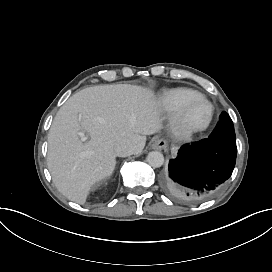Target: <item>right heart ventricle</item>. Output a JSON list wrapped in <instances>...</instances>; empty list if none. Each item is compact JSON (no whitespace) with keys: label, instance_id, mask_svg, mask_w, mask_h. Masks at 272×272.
I'll return each instance as SVG.
<instances>
[{"label":"right heart ventricle","instance_id":"obj_1","mask_svg":"<svg viewBox=\"0 0 272 272\" xmlns=\"http://www.w3.org/2000/svg\"><path fill=\"white\" fill-rule=\"evenodd\" d=\"M199 92L193 88H174L167 90L162 95V103L167 109L175 110L179 107L180 103L186 99L195 97Z\"/></svg>","mask_w":272,"mask_h":272}]
</instances>
